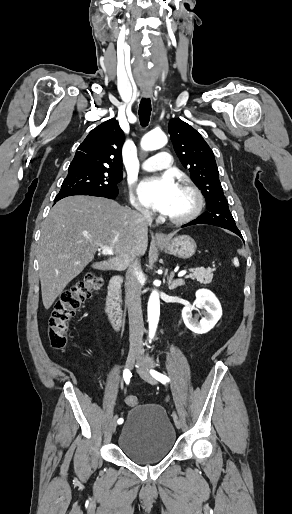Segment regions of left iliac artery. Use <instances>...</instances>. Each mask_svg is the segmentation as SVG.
Listing matches in <instances>:
<instances>
[{
	"mask_svg": "<svg viewBox=\"0 0 292 514\" xmlns=\"http://www.w3.org/2000/svg\"><path fill=\"white\" fill-rule=\"evenodd\" d=\"M150 374L158 381H160L161 383H167V382H170V379L164 375V374H161L155 370H150Z\"/></svg>",
	"mask_w": 292,
	"mask_h": 514,
	"instance_id": "obj_1",
	"label": "left iliac artery"
}]
</instances>
